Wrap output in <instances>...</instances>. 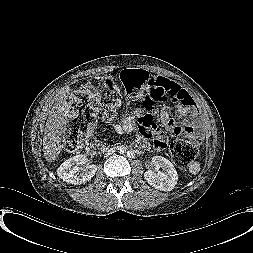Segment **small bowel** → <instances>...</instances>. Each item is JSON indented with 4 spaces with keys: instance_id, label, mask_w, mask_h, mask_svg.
<instances>
[{
    "instance_id": "1",
    "label": "small bowel",
    "mask_w": 253,
    "mask_h": 253,
    "mask_svg": "<svg viewBox=\"0 0 253 253\" xmlns=\"http://www.w3.org/2000/svg\"><path fill=\"white\" fill-rule=\"evenodd\" d=\"M179 88L178 98L179 101L175 105L176 118L191 117L193 120L199 119V113L192 107V98L188 92L177 85ZM116 113V107L110 105L103 113V119L106 123H110ZM134 114L138 118V129L145 137L153 138L154 147L157 150L165 148L167 143L166 136L161 132L160 126L164 127L170 132L176 134L193 135V128L190 124H179L174 116L168 111H161L157 118L154 119L151 115L144 114L142 109L137 108Z\"/></svg>"
}]
</instances>
